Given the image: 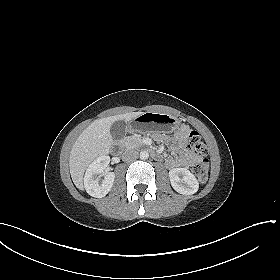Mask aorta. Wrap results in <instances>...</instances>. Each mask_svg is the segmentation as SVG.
Returning a JSON list of instances; mask_svg holds the SVG:
<instances>
[{
	"instance_id": "aorta-1",
	"label": "aorta",
	"mask_w": 280,
	"mask_h": 280,
	"mask_svg": "<svg viewBox=\"0 0 280 280\" xmlns=\"http://www.w3.org/2000/svg\"><path fill=\"white\" fill-rule=\"evenodd\" d=\"M149 158V153L147 151H141L140 152V159L146 160Z\"/></svg>"
}]
</instances>
